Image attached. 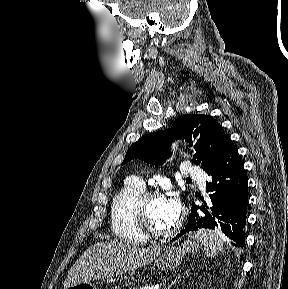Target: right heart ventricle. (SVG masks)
Here are the masks:
<instances>
[{
	"instance_id": "1",
	"label": "right heart ventricle",
	"mask_w": 288,
	"mask_h": 289,
	"mask_svg": "<svg viewBox=\"0 0 288 289\" xmlns=\"http://www.w3.org/2000/svg\"><path fill=\"white\" fill-rule=\"evenodd\" d=\"M144 187L135 180H127L114 195L110 208V225L113 235L122 243L141 245L147 237L135 230L131 220V207Z\"/></svg>"
}]
</instances>
